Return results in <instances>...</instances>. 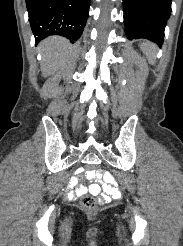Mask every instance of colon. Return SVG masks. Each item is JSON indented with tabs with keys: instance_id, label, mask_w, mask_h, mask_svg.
Listing matches in <instances>:
<instances>
[{
	"instance_id": "5ec220e1",
	"label": "colon",
	"mask_w": 183,
	"mask_h": 246,
	"mask_svg": "<svg viewBox=\"0 0 183 246\" xmlns=\"http://www.w3.org/2000/svg\"><path fill=\"white\" fill-rule=\"evenodd\" d=\"M85 170L86 172H91V170H94V164L92 162L85 164ZM101 176L104 177V175ZM81 206L84 210L93 212L97 207V201L92 196L86 195L81 200Z\"/></svg>"
}]
</instances>
